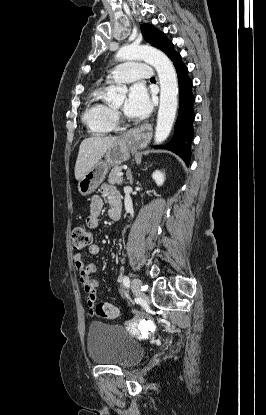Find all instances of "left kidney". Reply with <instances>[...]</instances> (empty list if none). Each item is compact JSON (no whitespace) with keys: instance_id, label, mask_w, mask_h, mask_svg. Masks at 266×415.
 I'll return each mask as SVG.
<instances>
[{"instance_id":"obj_1","label":"left kidney","mask_w":266,"mask_h":415,"mask_svg":"<svg viewBox=\"0 0 266 415\" xmlns=\"http://www.w3.org/2000/svg\"><path fill=\"white\" fill-rule=\"evenodd\" d=\"M152 178L158 186H161V185H163V183L165 181V174L163 172L159 171V170H156L152 174Z\"/></svg>"}]
</instances>
